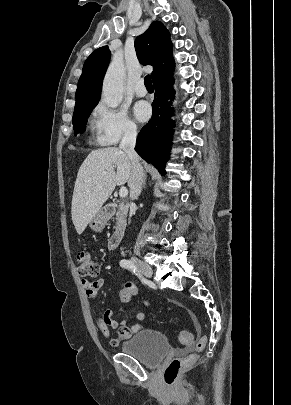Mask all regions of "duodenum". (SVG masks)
<instances>
[{
    "instance_id": "duodenum-1",
    "label": "duodenum",
    "mask_w": 291,
    "mask_h": 405,
    "mask_svg": "<svg viewBox=\"0 0 291 405\" xmlns=\"http://www.w3.org/2000/svg\"><path fill=\"white\" fill-rule=\"evenodd\" d=\"M122 207L125 208L126 206L122 205ZM105 211L107 213H111L113 211V206H111V205L107 206ZM123 236H124V227L120 226L116 229V231L110 237V239L108 241V248L111 250L116 249L120 245V243L123 239Z\"/></svg>"
}]
</instances>
